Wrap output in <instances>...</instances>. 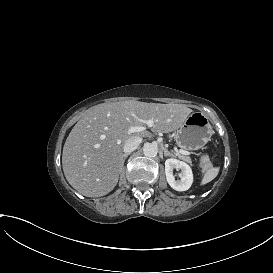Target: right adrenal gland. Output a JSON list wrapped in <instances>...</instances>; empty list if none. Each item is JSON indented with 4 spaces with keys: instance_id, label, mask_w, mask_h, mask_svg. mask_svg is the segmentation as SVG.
Returning <instances> with one entry per match:
<instances>
[{
    "instance_id": "1",
    "label": "right adrenal gland",
    "mask_w": 273,
    "mask_h": 273,
    "mask_svg": "<svg viewBox=\"0 0 273 273\" xmlns=\"http://www.w3.org/2000/svg\"><path fill=\"white\" fill-rule=\"evenodd\" d=\"M130 155V153H126L123 155V162L125 161V159Z\"/></svg>"
}]
</instances>
